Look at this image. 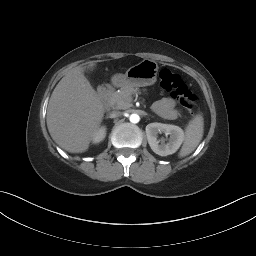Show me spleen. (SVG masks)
Instances as JSON below:
<instances>
[{
  "mask_svg": "<svg viewBox=\"0 0 256 256\" xmlns=\"http://www.w3.org/2000/svg\"><path fill=\"white\" fill-rule=\"evenodd\" d=\"M204 132V119L201 114L196 115L186 127L184 144L179 157H185L192 153L202 140Z\"/></svg>",
  "mask_w": 256,
  "mask_h": 256,
  "instance_id": "obj_1",
  "label": "spleen"
}]
</instances>
